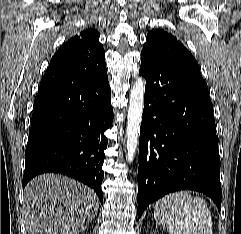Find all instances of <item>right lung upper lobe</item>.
I'll list each match as a JSON object with an SVG mask.
<instances>
[{
    "label": "right lung upper lobe",
    "instance_id": "1",
    "mask_svg": "<svg viewBox=\"0 0 241 234\" xmlns=\"http://www.w3.org/2000/svg\"><path fill=\"white\" fill-rule=\"evenodd\" d=\"M99 37L95 29H86L64 43L52 57L38 93L80 84L105 71Z\"/></svg>",
    "mask_w": 241,
    "mask_h": 234
}]
</instances>
